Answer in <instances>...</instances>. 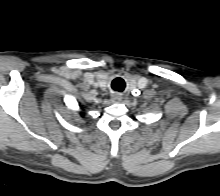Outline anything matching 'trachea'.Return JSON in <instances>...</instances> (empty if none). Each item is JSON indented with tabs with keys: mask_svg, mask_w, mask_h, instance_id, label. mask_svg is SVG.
Listing matches in <instances>:
<instances>
[{
	"mask_svg": "<svg viewBox=\"0 0 220 196\" xmlns=\"http://www.w3.org/2000/svg\"><path fill=\"white\" fill-rule=\"evenodd\" d=\"M112 89L122 92L125 88V83L124 80L121 78H116L115 80H113L112 82Z\"/></svg>",
	"mask_w": 220,
	"mask_h": 196,
	"instance_id": "trachea-1",
	"label": "trachea"
}]
</instances>
